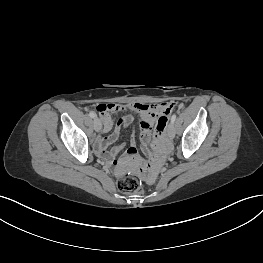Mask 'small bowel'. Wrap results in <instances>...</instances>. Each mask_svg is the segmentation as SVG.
Here are the masks:
<instances>
[{"label":"small bowel","instance_id":"obj_1","mask_svg":"<svg viewBox=\"0 0 263 263\" xmlns=\"http://www.w3.org/2000/svg\"><path fill=\"white\" fill-rule=\"evenodd\" d=\"M166 110L163 113H140V135L139 140L142 150L150 155V162L142 163L136 149V138L133 135L129 140L128 148L121 158L117 159V155L121 152L124 145L115 144L120 135V129L128 127L133 117L131 115L120 118L117 123L113 121L111 115H100L103 122V132L109 133L107 136L98 137L95 141V149L99 155L108 159L119 171L125 167H136L139 174H145L144 181L152 184L155 176L159 172L163 164V144L165 135L168 132V126L172 121V117L180 109V104L174 99H169L165 103ZM149 147L151 149L149 150Z\"/></svg>","mask_w":263,"mask_h":263}]
</instances>
